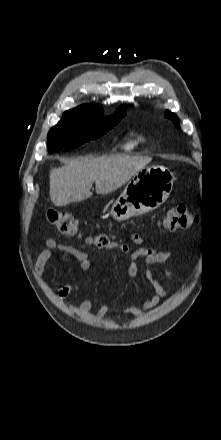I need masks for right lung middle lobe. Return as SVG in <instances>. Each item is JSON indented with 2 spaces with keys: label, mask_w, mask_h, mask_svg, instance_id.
<instances>
[{
  "label": "right lung middle lobe",
  "mask_w": 221,
  "mask_h": 440,
  "mask_svg": "<svg viewBox=\"0 0 221 440\" xmlns=\"http://www.w3.org/2000/svg\"><path fill=\"white\" fill-rule=\"evenodd\" d=\"M126 114L117 110L112 116L103 117V110H69L48 133V152L72 149L99 138L114 127Z\"/></svg>",
  "instance_id": "dd1d6c3e"
}]
</instances>
